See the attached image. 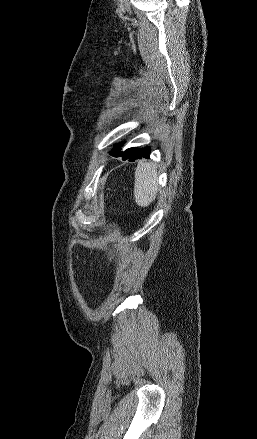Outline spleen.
Masks as SVG:
<instances>
[{"label": "spleen", "instance_id": "1", "mask_svg": "<svg viewBox=\"0 0 257 439\" xmlns=\"http://www.w3.org/2000/svg\"><path fill=\"white\" fill-rule=\"evenodd\" d=\"M158 175L155 165L149 162H139L135 170L134 197L141 207H147L153 202L158 193Z\"/></svg>", "mask_w": 257, "mask_h": 439}]
</instances>
